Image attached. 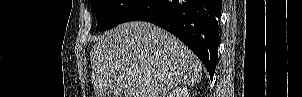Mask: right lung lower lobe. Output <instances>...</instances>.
<instances>
[{"label": "right lung lower lobe", "instance_id": "98d812e1", "mask_svg": "<svg viewBox=\"0 0 302 97\" xmlns=\"http://www.w3.org/2000/svg\"><path fill=\"white\" fill-rule=\"evenodd\" d=\"M222 0H142L123 19L147 21L178 37L204 63L211 79L218 58Z\"/></svg>", "mask_w": 302, "mask_h": 97}]
</instances>
